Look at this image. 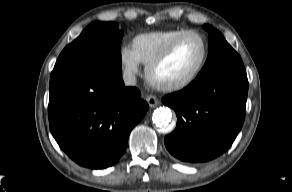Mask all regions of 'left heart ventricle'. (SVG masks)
I'll return each mask as SVG.
<instances>
[{"label": "left heart ventricle", "instance_id": "1", "mask_svg": "<svg viewBox=\"0 0 292 192\" xmlns=\"http://www.w3.org/2000/svg\"><path fill=\"white\" fill-rule=\"evenodd\" d=\"M203 53L201 40L194 36L184 38L173 53L153 72L159 83H172L186 78L199 64Z\"/></svg>", "mask_w": 292, "mask_h": 192}]
</instances>
